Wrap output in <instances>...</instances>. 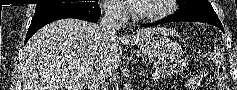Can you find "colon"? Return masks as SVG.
<instances>
[{
  "mask_svg": "<svg viewBox=\"0 0 237 90\" xmlns=\"http://www.w3.org/2000/svg\"><path fill=\"white\" fill-rule=\"evenodd\" d=\"M213 63H214V80L217 83L218 90H231L226 68L225 62L222 52L216 51L213 55Z\"/></svg>",
  "mask_w": 237,
  "mask_h": 90,
  "instance_id": "obj_1",
  "label": "colon"
}]
</instances>
